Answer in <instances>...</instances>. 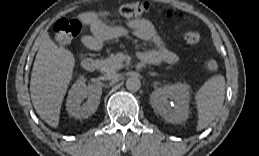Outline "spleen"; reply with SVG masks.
I'll return each instance as SVG.
<instances>
[{"instance_id":"1","label":"spleen","mask_w":259,"mask_h":156,"mask_svg":"<svg viewBox=\"0 0 259 156\" xmlns=\"http://www.w3.org/2000/svg\"><path fill=\"white\" fill-rule=\"evenodd\" d=\"M225 98V78L214 75L196 92L197 130L207 127L218 115Z\"/></svg>"}]
</instances>
